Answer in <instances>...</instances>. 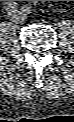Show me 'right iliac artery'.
Returning a JSON list of instances; mask_svg holds the SVG:
<instances>
[{
    "mask_svg": "<svg viewBox=\"0 0 74 122\" xmlns=\"http://www.w3.org/2000/svg\"><path fill=\"white\" fill-rule=\"evenodd\" d=\"M4 7L6 10L13 12L17 8V3L12 2V1L6 2L4 4Z\"/></svg>",
    "mask_w": 74,
    "mask_h": 122,
    "instance_id": "1",
    "label": "right iliac artery"
}]
</instances>
